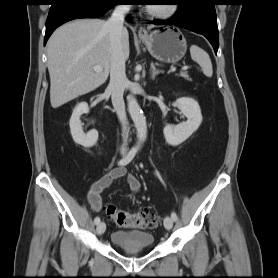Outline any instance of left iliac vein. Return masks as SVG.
<instances>
[{"instance_id": "4c4485c4", "label": "left iliac vein", "mask_w": 278, "mask_h": 278, "mask_svg": "<svg viewBox=\"0 0 278 278\" xmlns=\"http://www.w3.org/2000/svg\"><path fill=\"white\" fill-rule=\"evenodd\" d=\"M164 227L167 229V230H171L172 227H173V219L169 216L165 217L164 219Z\"/></svg>"}]
</instances>
